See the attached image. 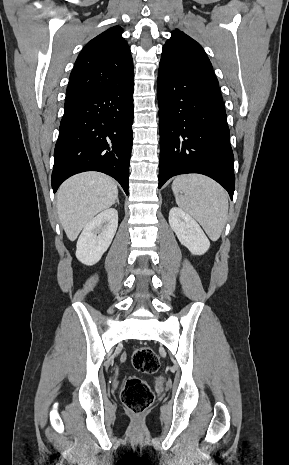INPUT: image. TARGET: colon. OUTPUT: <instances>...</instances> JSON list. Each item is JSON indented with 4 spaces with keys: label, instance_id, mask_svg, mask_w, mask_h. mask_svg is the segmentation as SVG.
I'll return each mask as SVG.
<instances>
[{
    "label": "colon",
    "instance_id": "colon-1",
    "mask_svg": "<svg viewBox=\"0 0 289 465\" xmlns=\"http://www.w3.org/2000/svg\"><path fill=\"white\" fill-rule=\"evenodd\" d=\"M132 364L141 373L154 374L159 370L160 360L153 348L143 346L134 351ZM121 399L131 413L139 415L152 404L154 395L147 382L130 376L125 381Z\"/></svg>",
    "mask_w": 289,
    "mask_h": 465
}]
</instances>
